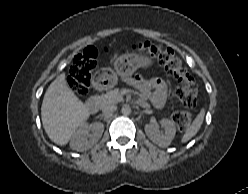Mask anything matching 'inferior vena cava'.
Here are the masks:
<instances>
[{
    "label": "inferior vena cava",
    "instance_id": "obj_1",
    "mask_svg": "<svg viewBox=\"0 0 248 194\" xmlns=\"http://www.w3.org/2000/svg\"><path fill=\"white\" fill-rule=\"evenodd\" d=\"M117 106L114 104H107L105 106H103L102 111L104 114H110L113 113L114 111H116Z\"/></svg>",
    "mask_w": 248,
    "mask_h": 194
}]
</instances>
